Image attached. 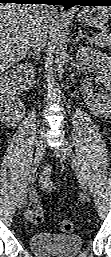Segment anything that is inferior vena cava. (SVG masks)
Masks as SVG:
<instances>
[{"label": "inferior vena cava", "instance_id": "602c4592", "mask_svg": "<svg viewBox=\"0 0 111 257\" xmlns=\"http://www.w3.org/2000/svg\"><path fill=\"white\" fill-rule=\"evenodd\" d=\"M47 27L38 22V26L32 37L31 47L34 53L39 56L40 50L45 47L47 41Z\"/></svg>", "mask_w": 111, "mask_h": 257}]
</instances>
